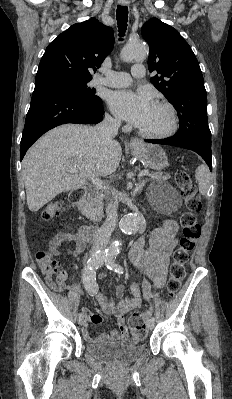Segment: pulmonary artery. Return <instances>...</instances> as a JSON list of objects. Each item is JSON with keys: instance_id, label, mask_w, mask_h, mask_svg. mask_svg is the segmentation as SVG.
Masks as SVG:
<instances>
[{"instance_id": "e3ab8cb5", "label": "pulmonary artery", "mask_w": 232, "mask_h": 399, "mask_svg": "<svg viewBox=\"0 0 232 399\" xmlns=\"http://www.w3.org/2000/svg\"><path fill=\"white\" fill-rule=\"evenodd\" d=\"M144 64L136 63L135 69L132 70L133 77H130L128 73H125L124 69H104L102 71V77H95L92 81V85H102L103 90H116L117 84H119L120 90H127L128 84H135L136 80H142L144 75Z\"/></svg>"}]
</instances>
